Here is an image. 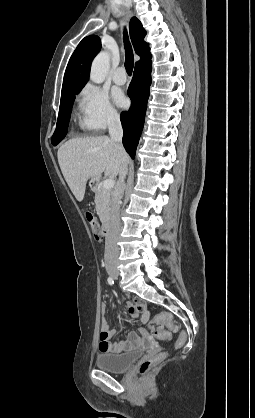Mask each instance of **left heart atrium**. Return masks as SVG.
I'll return each instance as SVG.
<instances>
[{
    "label": "left heart atrium",
    "mask_w": 255,
    "mask_h": 418,
    "mask_svg": "<svg viewBox=\"0 0 255 418\" xmlns=\"http://www.w3.org/2000/svg\"><path fill=\"white\" fill-rule=\"evenodd\" d=\"M114 100L117 105L123 107L127 104V99L121 91H116L114 93Z\"/></svg>",
    "instance_id": "39dd6f15"
}]
</instances>
